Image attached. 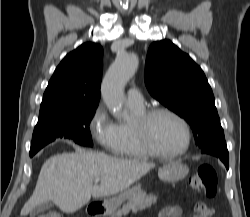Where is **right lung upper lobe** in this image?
Listing matches in <instances>:
<instances>
[{"instance_id":"right-lung-upper-lobe-1","label":"right lung upper lobe","mask_w":250,"mask_h":217,"mask_svg":"<svg viewBox=\"0 0 250 217\" xmlns=\"http://www.w3.org/2000/svg\"><path fill=\"white\" fill-rule=\"evenodd\" d=\"M103 70V48L84 43L67 54L51 77L39 115L64 109L98 106Z\"/></svg>"}]
</instances>
